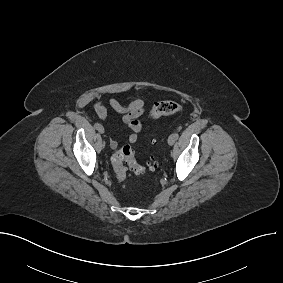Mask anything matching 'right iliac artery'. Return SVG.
I'll list each match as a JSON object with an SVG mask.
<instances>
[{
  "label": "right iliac artery",
  "instance_id": "82829eb1",
  "mask_svg": "<svg viewBox=\"0 0 283 283\" xmlns=\"http://www.w3.org/2000/svg\"><path fill=\"white\" fill-rule=\"evenodd\" d=\"M100 126H101V124H99V123H95V124H94V127H95L96 129H99Z\"/></svg>",
  "mask_w": 283,
  "mask_h": 283
}]
</instances>
